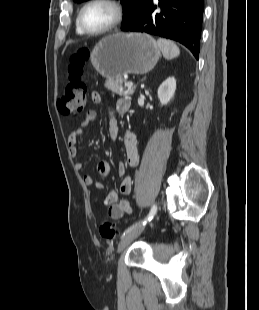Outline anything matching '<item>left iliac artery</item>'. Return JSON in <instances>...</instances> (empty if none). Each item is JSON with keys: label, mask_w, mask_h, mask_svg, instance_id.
<instances>
[{"label": "left iliac artery", "mask_w": 259, "mask_h": 310, "mask_svg": "<svg viewBox=\"0 0 259 310\" xmlns=\"http://www.w3.org/2000/svg\"><path fill=\"white\" fill-rule=\"evenodd\" d=\"M156 212H157V206L154 204V205L152 206V208H151V210H150L148 216H147L144 220L140 221L139 223H136V224L132 225L131 227H129V228L126 230L125 233L130 232V231H131L132 229H134L138 224H143V225H145V224L147 223V221H151V220L153 219V217L155 216Z\"/></svg>", "instance_id": "obj_1"}]
</instances>
